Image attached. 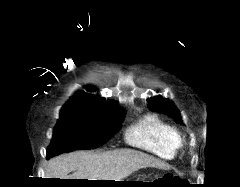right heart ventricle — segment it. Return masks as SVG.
<instances>
[{"label": "right heart ventricle", "mask_w": 240, "mask_h": 187, "mask_svg": "<svg viewBox=\"0 0 240 187\" xmlns=\"http://www.w3.org/2000/svg\"><path fill=\"white\" fill-rule=\"evenodd\" d=\"M128 144L161 159H174L181 146L178 129L160 117L148 114L134 123L125 135Z\"/></svg>", "instance_id": "obj_1"}]
</instances>
